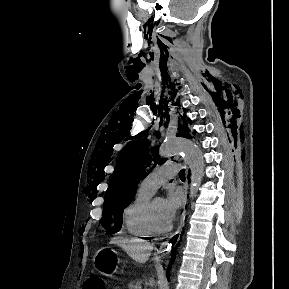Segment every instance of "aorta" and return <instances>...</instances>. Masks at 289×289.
<instances>
[{"instance_id":"1","label":"aorta","mask_w":289,"mask_h":289,"mask_svg":"<svg viewBox=\"0 0 289 289\" xmlns=\"http://www.w3.org/2000/svg\"><path fill=\"white\" fill-rule=\"evenodd\" d=\"M161 158L180 156L188 164L191 171L190 196L196 197L204 176V159L200 148L191 140L180 137H168L160 148Z\"/></svg>"}]
</instances>
